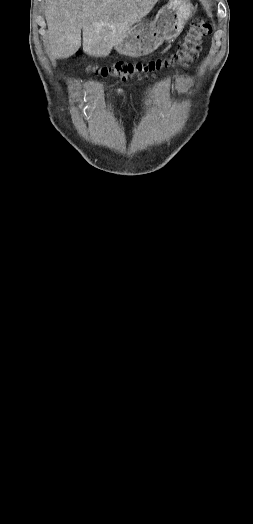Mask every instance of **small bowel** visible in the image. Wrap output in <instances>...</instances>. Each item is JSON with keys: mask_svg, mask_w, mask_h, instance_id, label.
<instances>
[{"mask_svg": "<svg viewBox=\"0 0 253 524\" xmlns=\"http://www.w3.org/2000/svg\"><path fill=\"white\" fill-rule=\"evenodd\" d=\"M117 92H118V93H122V90H121V89H117Z\"/></svg>", "mask_w": 253, "mask_h": 524, "instance_id": "obj_1", "label": "small bowel"}]
</instances>
